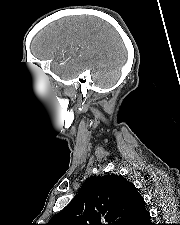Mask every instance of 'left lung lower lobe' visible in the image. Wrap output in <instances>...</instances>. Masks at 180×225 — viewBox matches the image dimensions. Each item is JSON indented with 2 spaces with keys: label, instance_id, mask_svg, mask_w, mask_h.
<instances>
[{
  "label": "left lung lower lobe",
  "instance_id": "1",
  "mask_svg": "<svg viewBox=\"0 0 180 225\" xmlns=\"http://www.w3.org/2000/svg\"><path fill=\"white\" fill-rule=\"evenodd\" d=\"M124 225H153L150 221V213L143 207L135 213Z\"/></svg>",
  "mask_w": 180,
  "mask_h": 225
}]
</instances>
